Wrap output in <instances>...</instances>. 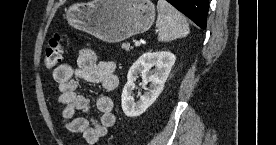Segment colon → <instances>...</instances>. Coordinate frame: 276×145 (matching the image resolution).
I'll return each mask as SVG.
<instances>
[{
    "label": "colon",
    "instance_id": "1",
    "mask_svg": "<svg viewBox=\"0 0 276 145\" xmlns=\"http://www.w3.org/2000/svg\"><path fill=\"white\" fill-rule=\"evenodd\" d=\"M63 55L62 37L60 34H55L49 41L44 57V64L47 69L56 67Z\"/></svg>",
    "mask_w": 276,
    "mask_h": 145
}]
</instances>
